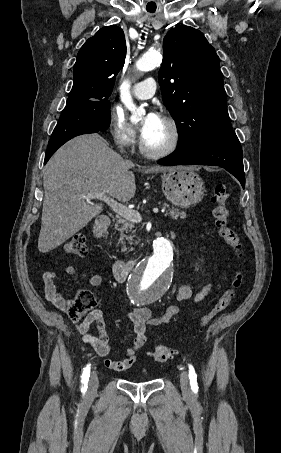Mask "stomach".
<instances>
[{"mask_svg":"<svg viewBox=\"0 0 281 453\" xmlns=\"http://www.w3.org/2000/svg\"><path fill=\"white\" fill-rule=\"evenodd\" d=\"M204 182L193 166H176L165 170L162 176V190L172 204L190 208L200 202L204 194Z\"/></svg>","mask_w":281,"mask_h":453,"instance_id":"1","label":"stomach"}]
</instances>
